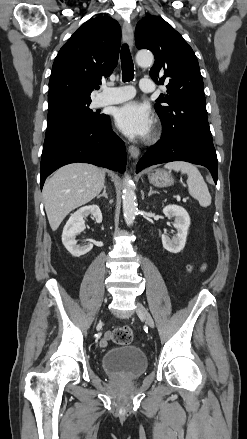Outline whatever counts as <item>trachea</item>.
I'll use <instances>...</instances> for the list:
<instances>
[{"mask_svg": "<svg viewBox=\"0 0 247 439\" xmlns=\"http://www.w3.org/2000/svg\"><path fill=\"white\" fill-rule=\"evenodd\" d=\"M121 65L123 81H132L134 78V64L127 44H123L121 49Z\"/></svg>", "mask_w": 247, "mask_h": 439, "instance_id": "1", "label": "trachea"}]
</instances>
